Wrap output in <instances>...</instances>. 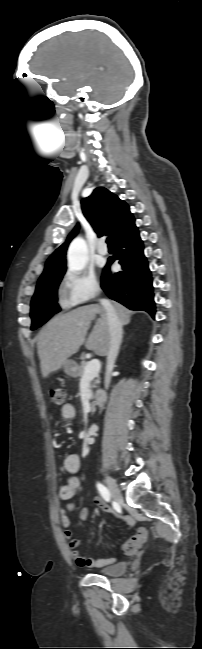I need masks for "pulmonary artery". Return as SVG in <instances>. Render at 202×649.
Masks as SVG:
<instances>
[{
    "label": "pulmonary artery",
    "instance_id": "1",
    "mask_svg": "<svg viewBox=\"0 0 202 649\" xmlns=\"http://www.w3.org/2000/svg\"><path fill=\"white\" fill-rule=\"evenodd\" d=\"M97 252L101 255H106L108 253V248L105 245L104 241L101 240L97 246Z\"/></svg>",
    "mask_w": 202,
    "mask_h": 649
}]
</instances>
